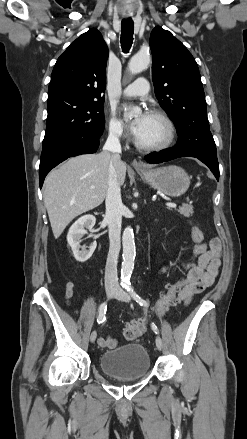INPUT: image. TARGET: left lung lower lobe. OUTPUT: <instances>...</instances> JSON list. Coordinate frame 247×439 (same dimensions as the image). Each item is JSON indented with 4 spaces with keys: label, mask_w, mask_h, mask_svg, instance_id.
<instances>
[{
    "label": "left lung lower lobe",
    "mask_w": 247,
    "mask_h": 439,
    "mask_svg": "<svg viewBox=\"0 0 247 439\" xmlns=\"http://www.w3.org/2000/svg\"><path fill=\"white\" fill-rule=\"evenodd\" d=\"M187 156H191V155L184 153L177 146H175L173 148L166 149V150H163L160 152L150 153V154L145 156V159L149 163L157 164V163L170 161V160H173L175 158L187 157ZM191 157H193V156H191ZM210 170L215 175L216 179L219 180V170H217V169H210Z\"/></svg>",
    "instance_id": "obj_1"
}]
</instances>
